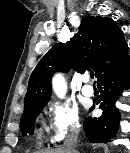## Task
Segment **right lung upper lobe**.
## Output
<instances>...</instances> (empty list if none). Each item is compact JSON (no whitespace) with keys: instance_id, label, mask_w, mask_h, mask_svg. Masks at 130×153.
Wrapping results in <instances>:
<instances>
[{"instance_id":"right-lung-upper-lobe-1","label":"right lung upper lobe","mask_w":130,"mask_h":153,"mask_svg":"<svg viewBox=\"0 0 130 153\" xmlns=\"http://www.w3.org/2000/svg\"><path fill=\"white\" fill-rule=\"evenodd\" d=\"M124 34L111 18L85 17L79 32L67 43L55 44L39 61L32 72L24 99V111L46 104L51 96V77L57 71L78 72L93 70L98 79L120 63L127 55Z\"/></svg>"}]
</instances>
